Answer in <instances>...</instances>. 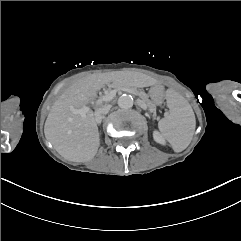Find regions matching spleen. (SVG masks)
<instances>
[{
    "label": "spleen",
    "mask_w": 241,
    "mask_h": 241,
    "mask_svg": "<svg viewBox=\"0 0 241 241\" xmlns=\"http://www.w3.org/2000/svg\"><path fill=\"white\" fill-rule=\"evenodd\" d=\"M168 117L158 121V129L173 151H183L191 142L195 131V115L186 99L170 89L167 91Z\"/></svg>",
    "instance_id": "spleen-1"
}]
</instances>
